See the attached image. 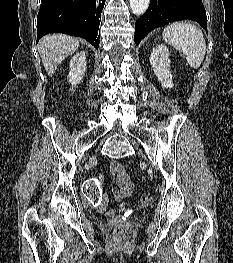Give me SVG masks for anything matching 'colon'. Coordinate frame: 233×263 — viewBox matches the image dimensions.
<instances>
[{
	"label": "colon",
	"instance_id": "obj_1",
	"mask_svg": "<svg viewBox=\"0 0 233 263\" xmlns=\"http://www.w3.org/2000/svg\"><path fill=\"white\" fill-rule=\"evenodd\" d=\"M96 176H105V171H96ZM101 178H87L86 182H84V189H85V199L88 200L87 207L88 208H97L100 199H102L103 190L101 187ZM141 204L143 206H147L152 202V197L150 193L145 192L140 197ZM115 236H120L122 234V227L117 225L114 229Z\"/></svg>",
	"mask_w": 233,
	"mask_h": 263
}]
</instances>
